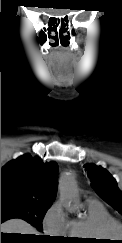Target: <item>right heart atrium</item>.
Returning <instances> with one entry per match:
<instances>
[{"label":"right heart atrium","instance_id":"right-heart-atrium-1","mask_svg":"<svg viewBox=\"0 0 122 243\" xmlns=\"http://www.w3.org/2000/svg\"><path fill=\"white\" fill-rule=\"evenodd\" d=\"M43 229L47 234L64 236L68 232L69 219L61 201L55 202L43 218Z\"/></svg>","mask_w":122,"mask_h":243}]
</instances>
